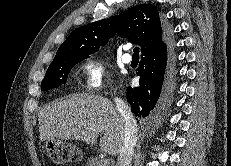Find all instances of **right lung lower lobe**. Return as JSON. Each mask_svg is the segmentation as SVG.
Returning <instances> with one entry per match:
<instances>
[{"instance_id":"right-lung-lower-lobe-1","label":"right lung lower lobe","mask_w":231,"mask_h":166,"mask_svg":"<svg viewBox=\"0 0 231 166\" xmlns=\"http://www.w3.org/2000/svg\"><path fill=\"white\" fill-rule=\"evenodd\" d=\"M166 41L155 51L143 55L137 75L139 87H127L126 96L135 116H153L170 102L172 90V35L169 27Z\"/></svg>"}]
</instances>
